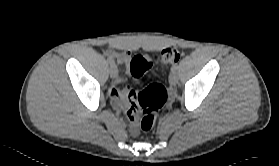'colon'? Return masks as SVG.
I'll return each mask as SVG.
<instances>
[{"mask_svg": "<svg viewBox=\"0 0 279 166\" xmlns=\"http://www.w3.org/2000/svg\"><path fill=\"white\" fill-rule=\"evenodd\" d=\"M180 53L176 48L169 47L158 55H136L131 59L130 72L140 79L144 88L138 93L139 109L142 111L140 129L148 133L155 125L157 113L167 100L166 89L159 84H148L146 73L155 61L170 65L178 62Z\"/></svg>", "mask_w": 279, "mask_h": 166, "instance_id": "5ec220e1", "label": "colon"}]
</instances>
